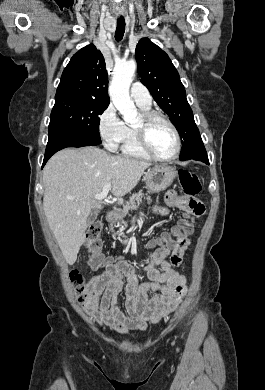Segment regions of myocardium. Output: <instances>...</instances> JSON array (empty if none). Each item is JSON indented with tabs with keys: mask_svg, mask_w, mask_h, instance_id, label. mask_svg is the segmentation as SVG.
Masks as SVG:
<instances>
[{
	"mask_svg": "<svg viewBox=\"0 0 265 390\" xmlns=\"http://www.w3.org/2000/svg\"><path fill=\"white\" fill-rule=\"evenodd\" d=\"M157 120L162 121L165 124H167L170 127V129L172 130L174 137H175L176 147H175L173 154L169 157H161L158 154H156L154 152V150L151 148L149 141H148V128L153 122H155ZM134 129H135L140 147L150 158H152L156 161H160V162H171L179 156L180 151H181V145H182L179 131H178L177 127L174 125V123L170 119H168L165 115H163L159 112H156V111L143 112L141 115L140 123L138 125H135Z\"/></svg>",
	"mask_w": 265,
	"mask_h": 390,
	"instance_id": "myocardium-1",
	"label": "myocardium"
}]
</instances>
